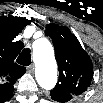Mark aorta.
<instances>
[{"mask_svg":"<svg viewBox=\"0 0 103 103\" xmlns=\"http://www.w3.org/2000/svg\"><path fill=\"white\" fill-rule=\"evenodd\" d=\"M33 60L38 84L46 90L54 88L57 82V63L48 39L40 38L33 45Z\"/></svg>","mask_w":103,"mask_h":103,"instance_id":"obj_1","label":"aorta"}]
</instances>
